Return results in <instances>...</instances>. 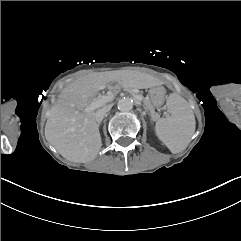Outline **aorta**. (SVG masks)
I'll return each instance as SVG.
<instances>
[{
	"label": "aorta",
	"mask_w": 241,
	"mask_h": 241,
	"mask_svg": "<svg viewBox=\"0 0 241 241\" xmlns=\"http://www.w3.org/2000/svg\"><path fill=\"white\" fill-rule=\"evenodd\" d=\"M133 108V100L129 97H124L118 101V109L122 112H128Z\"/></svg>",
	"instance_id": "obj_1"
}]
</instances>
